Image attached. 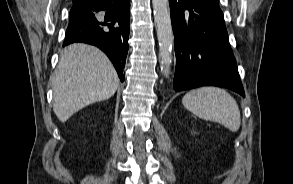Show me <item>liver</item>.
Returning <instances> with one entry per match:
<instances>
[{
    "mask_svg": "<svg viewBox=\"0 0 293 184\" xmlns=\"http://www.w3.org/2000/svg\"><path fill=\"white\" fill-rule=\"evenodd\" d=\"M118 86V75L102 51L71 44L61 53L53 77V111L64 123L84 107L112 97Z\"/></svg>",
    "mask_w": 293,
    "mask_h": 184,
    "instance_id": "obj_1",
    "label": "liver"
}]
</instances>
